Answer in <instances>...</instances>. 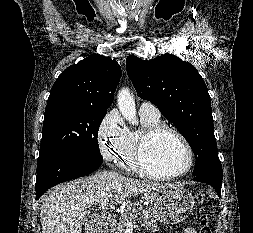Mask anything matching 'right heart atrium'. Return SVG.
Returning <instances> with one entry per match:
<instances>
[{"label": "right heart atrium", "instance_id": "1", "mask_svg": "<svg viewBox=\"0 0 253 233\" xmlns=\"http://www.w3.org/2000/svg\"><path fill=\"white\" fill-rule=\"evenodd\" d=\"M127 130L117 110H111L103 117L96 137L99 151L105 160L112 162L117 160Z\"/></svg>", "mask_w": 253, "mask_h": 233}]
</instances>
